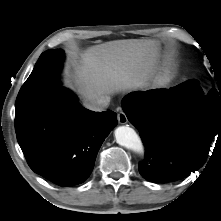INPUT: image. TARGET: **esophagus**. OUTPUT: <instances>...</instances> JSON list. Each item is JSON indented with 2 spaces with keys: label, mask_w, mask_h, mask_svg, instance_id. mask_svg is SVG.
Here are the masks:
<instances>
[{
  "label": "esophagus",
  "mask_w": 221,
  "mask_h": 221,
  "mask_svg": "<svg viewBox=\"0 0 221 221\" xmlns=\"http://www.w3.org/2000/svg\"><path fill=\"white\" fill-rule=\"evenodd\" d=\"M117 117L120 124H126L128 122L127 116L123 111H119Z\"/></svg>",
  "instance_id": "obj_1"
}]
</instances>
